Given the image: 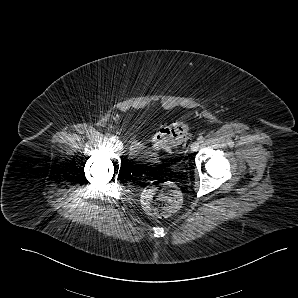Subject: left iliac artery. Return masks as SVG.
<instances>
[{"label": "left iliac artery", "mask_w": 298, "mask_h": 298, "mask_svg": "<svg viewBox=\"0 0 298 298\" xmlns=\"http://www.w3.org/2000/svg\"><path fill=\"white\" fill-rule=\"evenodd\" d=\"M198 141L201 143V142H203L204 141V137L203 136H200L199 138H198Z\"/></svg>", "instance_id": "left-iliac-artery-1"}]
</instances>
